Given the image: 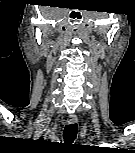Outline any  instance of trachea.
<instances>
[{
  "instance_id": "3493384b",
  "label": "trachea",
  "mask_w": 135,
  "mask_h": 153,
  "mask_svg": "<svg viewBox=\"0 0 135 153\" xmlns=\"http://www.w3.org/2000/svg\"><path fill=\"white\" fill-rule=\"evenodd\" d=\"M77 135V124H68L64 128V141L66 143H72Z\"/></svg>"
}]
</instances>
